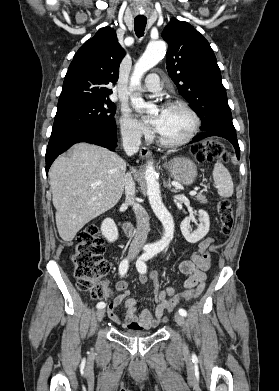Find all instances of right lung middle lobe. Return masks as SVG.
Here are the masks:
<instances>
[{
    "label": "right lung middle lobe",
    "mask_w": 279,
    "mask_h": 391,
    "mask_svg": "<svg viewBox=\"0 0 279 391\" xmlns=\"http://www.w3.org/2000/svg\"><path fill=\"white\" fill-rule=\"evenodd\" d=\"M116 106L109 99L77 103L57 109L52 133L115 121Z\"/></svg>",
    "instance_id": "obj_1"
}]
</instances>
